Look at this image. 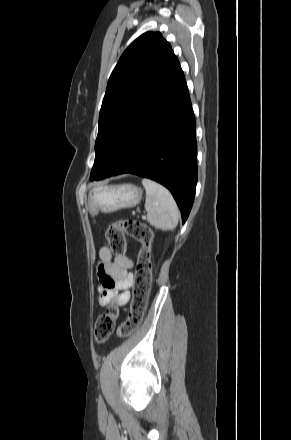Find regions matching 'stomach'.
I'll return each mask as SVG.
<instances>
[{
	"label": "stomach",
	"mask_w": 291,
	"mask_h": 440,
	"mask_svg": "<svg viewBox=\"0 0 291 440\" xmlns=\"http://www.w3.org/2000/svg\"><path fill=\"white\" fill-rule=\"evenodd\" d=\"M142 198V190L133 184L99 186L90 190L87 209L91 215L100 211L111 213L136 206Z\"/></svg>",
	"instance_id": "stomach-1"
}]
</instances>
